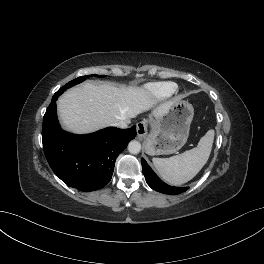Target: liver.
Segmentation results:
<instances>
[{"mask_svg":"<svg viewBox=\"0 0 264 264\" xmlns=\"http://www.w3.org/2000/svg\"><path fill=\"white\" fill-rule=\"evenodd\" d=\"M174 102L160 104L152 115L161 117ZM57 104L63 127L76 134H85L121 120L129 123L130 119L151 109L156 101L143 88L86 82L66 91Z\"/></svg>","mask_w":264,"mask_h":264,"instance_id":"6515ba94","label":"liver"}]
</instances>
